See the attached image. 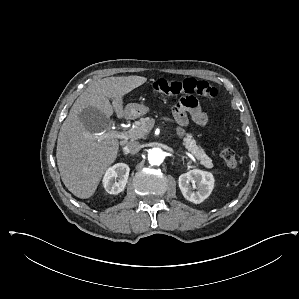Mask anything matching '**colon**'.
Wrapping results in <instances>:
<instances>
[{
  "instance_id": "colon-1",
  "label": "colon",
  "mask_w": 299,
  "mask_h": 299,
  "mask_svg": "<svg viewBox=\"0 0 299 299\" xmlns=\"http://www.w3.org/2000/svg\"><path fill=\"white\" fill-rule=\"evenodd\" d=\"M154 92L164 95H184V97L202 96L214 99L218 95V90L203 80L187 78L180 81L158 79L151 85ZM221 156L230 168L238 166V159L235 151L231 147H224Z\"/></svg>"
}]
</instances>
